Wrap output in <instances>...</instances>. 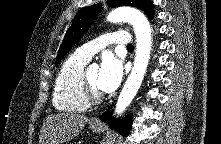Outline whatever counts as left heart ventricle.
I'll return each mask as SVG.
<instances>
[{"label": "left heart ventricle", "mask_w": 221, "mask_h": 144, "mask_svg": "<svg viewBox=\"0 0 221 144\" xmlns=\"http://www.w3.org/2000/svg\"><path fill=\"white\" fill-rule=\"evenodd\" d=\"M98 70L97 69H90L87 71V77L91 85L98 90L97 87V78H98Z\"/></svg>", "instance_id": "b2bd125f"}]
</instances>
